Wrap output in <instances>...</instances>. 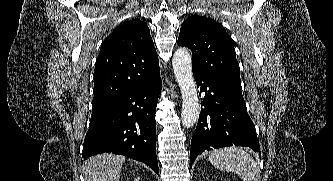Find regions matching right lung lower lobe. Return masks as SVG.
Returning <instances> with one entry per match:
<instances>
[{
	"mask_svg": "<svg viewBox=\"0 0 333 181\" xmlns=\"http://www.w3.org/2000/svg\"><path fill=\"white\" fill-rule=\"evenodd\" d=\"M161 79L92 110L82 157L114 153L141 161L157 174L155 113Z\"/></svg>",
	"mask_w": 333,
	"mask_h": 181,
	"instance_id": "98d812e1",
	"label": "right lung lower lobe"
}]
</instances>
